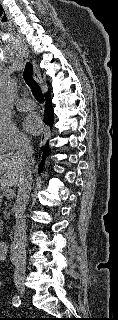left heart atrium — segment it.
<instances>
[{"label":"left heart atrium","instance_id":"left-heart-atrium-1","mask_svg":"<svg viewBox=\"0 0 118 320\" xmlns=\"http://www.w3.org/2000/svg\"><path fill=\"white\" fill-rule=\"evenodd\" d=\"M24 128L30 134H39L43 129L41 118L37 114H30L24 120Z\"/></svg>","mask_w":118,"mask_h":320}]
</instances>
